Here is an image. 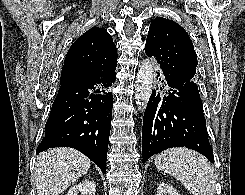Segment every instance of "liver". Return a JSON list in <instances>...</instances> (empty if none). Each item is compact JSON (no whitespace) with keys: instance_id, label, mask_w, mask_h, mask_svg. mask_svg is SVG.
<instances>
[{"instance_id":"1","label":"liver","mask_w":245,"mask_h":195,"mask_svg":"<svg viewBox=\"0 0 245 195\" xmlns=\"http://www.w3.org/2000/svg\"><path fill=\"white\" fill-rule=\"evenodd\" d=\"M90 159L66 147L49 149L37 156L35 185L37 195H59L86 174Z\"/></svg>"}]
</instances>
